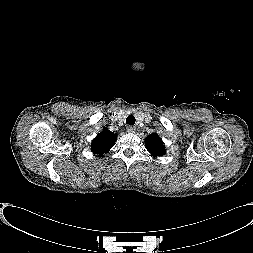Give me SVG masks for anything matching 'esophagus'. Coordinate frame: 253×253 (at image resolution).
Returning a JSON list of instances; mask_svg holds the SVG:
<instances>
[{
    "label": "esophagus",
    "instance_id": "esophagus-1",
    "mask_svg": "<svg viewBox=\"0 0 253 253\" xmlns=\"http://www.w3.org/2000/svg\"><path fill=\"white\" fill-rule=\"evenodd\" d=\"M126 130H127V132H129V133H134L136 129H135L134 126L128 125V126L126 127Z\"/></svg>",
    "mask_w": 253,
    "mask_h": 253
}]
</instances>
